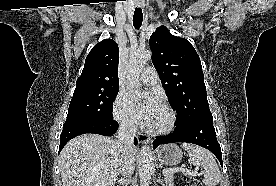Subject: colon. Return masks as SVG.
<instances>
[{
	"label": "colon",
	"instance_id": "colon-1",
	"mask_svg": "<svg viewBox=\"0 0 276 186\" xmlns=\"http://www.w3.org/2000/svg\"><path fill=\"white\" fill-rule=\"evenodd\" d=\"M177 186H203L202 183L196 179L182 174H178L175 177Z\"/></svg>",
	"mask_w": 276,
	"mask_h": 186
}]
</instances>
